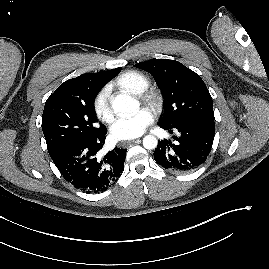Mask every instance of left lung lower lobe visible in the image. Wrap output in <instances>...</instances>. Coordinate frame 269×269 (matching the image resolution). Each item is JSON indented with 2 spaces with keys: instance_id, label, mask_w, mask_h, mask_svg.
Returning <instances> with one entry per match:
<instances>
[{
  "instance_id": "obj_1",
  "label": "left lung lower lobe",
  "mask_w": 269,
  "mask_h": 269,
  "mask_svg": "<svg viewBox=\"0 0 269 269\" xmlns=\"http://www.w3.org/2000/svg\"><path fill=\"white\" fill-rule=\"evenodd\" d=\"M169 133L178 131L175 142L159 141L154 151L157 164L176 173H188L199 168L207 159L214 140L215 122L208 119L185 120L174 126L160 125Z\"/></svg>"
}]
</instances>
